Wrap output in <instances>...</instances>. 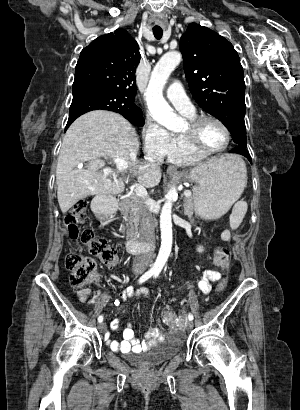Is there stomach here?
Instances as JSON below:
<instances>
[{"instance_id": "obj_1", "label": "stomach", "mask_w": 300, "mask_h": 410, "mask_svg": "<svg viewBox=\"0 0 300 410\" xmlns=\"http://www.w3.org/2000/svg\"><path fill=\"white\" fill-rule=\"evenodd\" d=\"M241 163L243 161L234 156L231 161L198 166L186 175L187 180L196 183L193 200L195 211L200 217L206 220L218 219L240 197L246 185L240 169Z\"/></svg>"}]
</instances>
